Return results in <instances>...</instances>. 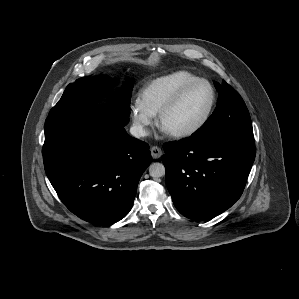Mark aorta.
Listing matches in <instances>:
<instances>
[{
	"mask_svg": "<svg viewBox=\"0 0 299 299\" xmlns=\"http://www.w3.org/2000/svg\"><path fill=\"white\" fill-rule=\"evenodd\" d=\"M149 174L153 177V178H159L162 177L163 175H165V167L162 163H152L149 166Z\"/></svg>",
	"mask_w": 299,
	"mask_h": 299,
	"instance_id": "obj_1",
	"label": "aorta"
}]
</instances>
